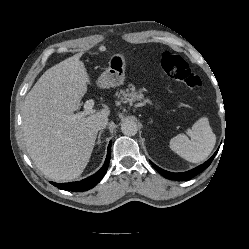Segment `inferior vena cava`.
Masks as SVG:
<instances>
[{
	"instance_id": "obj_1",
	"label": "inferior vena cava",
	"mask_w": 249,
	"mask_h": 249,
	"mask_svg": "<svg viewBox=\"0 0 249 249\" xmlns=\"http://www.w3.org/2000/svg\"><path fill=\"white\" fill-rule=\"evenodd\" d=\"M107 124H108V118L101 117L95 121L94 126L97 130H101V129H104Z\"/></svg>"
}]
</instances>
